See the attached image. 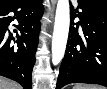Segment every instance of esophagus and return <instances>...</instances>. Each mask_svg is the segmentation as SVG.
<instances>
[{
    "label": "esophagus",
    "instance_id": "1",
    "mask_svg": "<svg viewBox=\"0 0 107 89\" xmlns=\"http://www.w3.org/2000/svg\"><path fill=\"white\" fill-rule=\"evenodd\" d=\"M51 4H52V6L54 7L55 4H56V0H51Z\"/></svg>",
    "mask_w": 107,
    "mask_h": 89
}]
</instances>
